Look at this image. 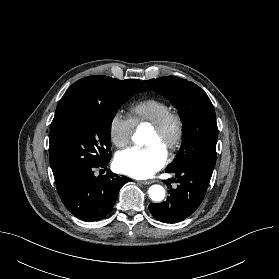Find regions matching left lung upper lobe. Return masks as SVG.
<instances>
[{"mask_svg": "<svg viewBox=\"0 0 279 279\" xmlns=\"http://www.w3.org/2000/svg\"><path fill=\"white\" fill-rule=\"evenodd\" d=\"M144 83L167 97L178 109L183 122L182 147L166 170L189 168L211 177L216 163L218 128L207 94L196 84L175 76Z\"/></svg>", "mask_w": 279, "mask_h": 279, "instance_id": "5c2ea615", "label": "left lung upper lobe"}]
</instances>
